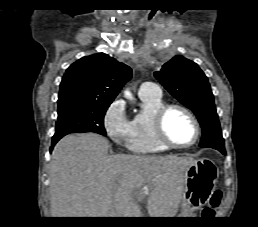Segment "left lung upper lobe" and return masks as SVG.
Returning <instances> with one entry per match:
<instances>
[{
    "instance_id": "left-lung-upper-lobe-1",
    "label": "left lung upper lobe",
    "mask_w": 258,
    "mask_h": 227,
    "mask_svg": "<svg viewBox=\"0 0 258 227\" xmlns=\"http://www.w3.org/2000/svg\"><path fill=\"white\" fill-rule=\"evenodd\" d=\"M154 75L172 96L197 116L202 127L200 147L223 149L224 139L213 94L199 66L182 56H175Z\"/></svg>"
}]
</instances>
